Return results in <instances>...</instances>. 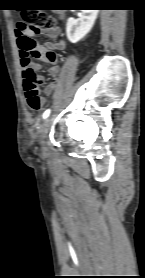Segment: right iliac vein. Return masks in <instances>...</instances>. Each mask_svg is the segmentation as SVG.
Listing matches in <instances>:
<instances>
[{
  "mask_svg": "<svg viewBox=\"0 0 145 278\" xmlns=\"http://www.w3.org/2000/svg\"><path fill=\"white\" fill-rule=\"evenodd\" d=\"M49 127H50V119L47 118L42 126L41 132H40V143L42 145L43 148H45V139L47 136V133L49 131Z\"/></svg>",
  "mask_w": 145,
  "mask_h": 278,
  "instance_id": "63e3f726",
  "label": "right iliac vein"
}]
</instances>
